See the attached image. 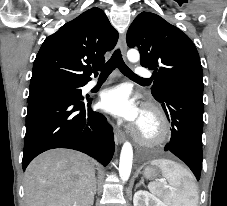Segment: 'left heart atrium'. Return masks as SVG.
<instances>
[{"instance_id":"1","label":"left heart atrium","mask_w":227,"mask_h":206,"mask_svg":"<svg viewBox=\"0 0 227 206\" xmlns=\"http://www.w3.org/2000/svg\"><path fill=\"white\" fill-rule=\"evenodd\" d=\"M101 107L107 112L129 122L139 124L143 112L124 86L106 90L101 97Z\"/></svg>"}]
</instances>
